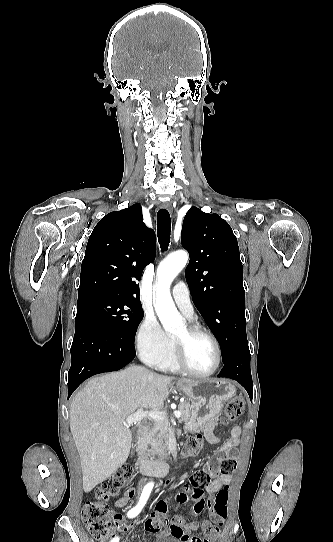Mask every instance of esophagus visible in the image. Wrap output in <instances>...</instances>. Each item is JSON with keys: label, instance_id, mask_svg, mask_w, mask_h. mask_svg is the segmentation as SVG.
Instances as JSON below:
<instances>
[{"label": "esophagus", "instance_id": "obj_1", "mask_svg": "<svg viewBox=\"0 0 333 542\" xmlns=\"http://www.w3.org/2000/svg\"><path fill=\"white\" fill-rule=\"evenodd\" d=\"M162 207L165 208V209H167V210H169L170 212L172 211V205H171L170 202H164V203L162 204Z\"/></svg>", "mask_w": 333, "mask_h": 542}]
</instances>
